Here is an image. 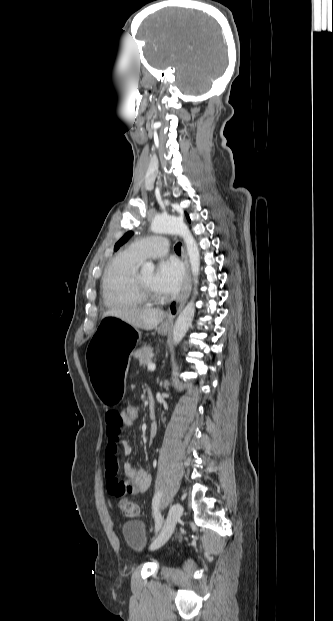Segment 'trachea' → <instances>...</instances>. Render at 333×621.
<instances>
[{
  "instance_id": "obj_1",
  "label": "trachea",
  "mask_w": 333,
  "mask_h": 621,
  "mask_svg": "<svg viewBox=\"0 0 333 621\" xmlns=\"http://www.w3.org/2000/svg\"><path fill=\"white\" fill-rule=\"evenodd\" d=\"M174 249H175V251H176L177 253H180V250H181V243H177V244L175 245Z\"/></svg>"
}]
</instances>
